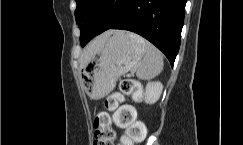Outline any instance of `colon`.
Segmentation results:
<instances>
[{"instance_id": "colon-1", "label": "colon", "mask_w": 243, "mask_h": 145, "mask_svg": "<svg viewBox=\"0 0 243 145\" xmlns=\"http://www.w3.org/2000/svg\"><path fill=\"white\" fill-rule=\"evenodd\" d=\"M130 96L134 102L142 100V90L134 79L126 78L119 83V92H115L104 101L105 111L94 118L95 139L93 145H114L116 132L113 125L126 130L122 145H134L144 139L146 129L136 119V110L131 105H121L123 96ZM108 112H113L111 116Z\"/></svg>"}]
</instances>
